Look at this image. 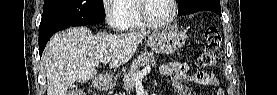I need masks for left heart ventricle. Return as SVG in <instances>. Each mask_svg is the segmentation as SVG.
<instances>
[{
    "mask_svg": "<svg viewBox=\"0 0 277 95\" xmlns=\"http://www.w3.org/2000/svg\"><path fill=\"white\" fill-rule=\"evenodd\" d=\"M145 11L153 20H166L171 16L172 4L170 0H148Z\"/></svg>",
    "mask_w": 277,
    "mask_h": 95,
    "instance_id": "1",
    "label": "left heart ventricle"
}]
</instances>
